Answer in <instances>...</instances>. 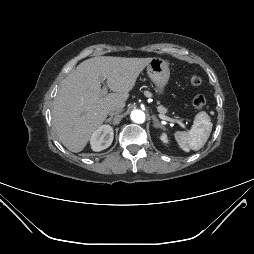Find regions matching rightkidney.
I'll use <instances>...</instances> for the list:
<instances>
[{
	"label": "right kidney",
	"mask_w": 254,
	"mask_h": 254,
	"mask_svg": "<svg viewBox=\"0 0 254 254\" xmlns=\"http://www.w3.org/2000/svg\"><path fill=\"white\" fill-rule=\"evenodd\" d=\"M114 137L113 128L110 125L100 126L91 136L90 145L93 151L99 152L108 148Z\"/></svg>",
	"instance_id": "right-kidney-1"
}]
</instances>
